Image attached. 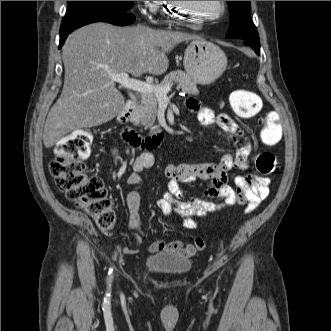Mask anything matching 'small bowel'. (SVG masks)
Masks as SVG:
<instances>
[{"label": "small bowel", "instance_id": "obj_1", "mask_svg": "<svg viewBox=\"0 0 331 331\" xmlns=\"http://www.w3.org/2000/svg\"><path fill=\"white\" fill-rule=\"evenodd\" d=\"M187 107L195 112L199 123L203 126L215 127L219 132L229 137L234 145V154H224L218 163L201 164H172L165 168V175L170 180L168 191L158 201V207L167 215L176 212L188 228L196 227V220L221 208V206L246 204V212L254 210L259 203L269 195V179L257 174L238 175L234 178L235 187L227 184V172L231 169L247 170L250 166V156L253 151L250 140L244 135L239 125L227 114H216L213 110L202 107L195 100H188ZM153 155L149 152L140 154L133 162L132 172L126 182L133 186L126 196L129 211V229L134 239V245L125 248V254L137 252L141 243V234L145 228L140 218V185L141 173L152 167ZM197 179L209 182L202 197L185 194L180 184H192ZM222 198V205L215 204L208 199ZM193 244L181 241L166 242L156 240L150 247V253L159 251H176L190 257L195 254Z\"/></svg>", "mask_w": 331, "mask_h": 331}]
</instances>
